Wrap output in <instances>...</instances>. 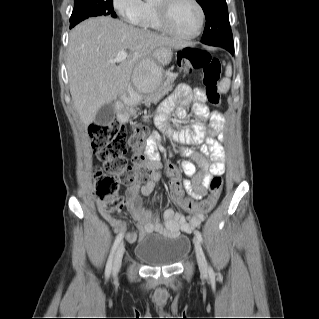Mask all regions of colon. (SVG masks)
<instances>
[{
	"label": "colon",
	"instance_id": "1",
	"mask_svg": "<svg viewBox=\"0 0 319 319\" xmlns=\"http://www.w3.org/2000/svg\"><path fill=\"white\" fill-rule=\"evenodd\" d=\"M177 65L185 71L202 70V84L207 101L213 105L220 104L218 83L221 76V63L217 58L212 57L205 50L186 47L178 53ZM148 131L147 125L139 124L134 127L133 134L128 137L124 125L116 121L91 126L89 134L92 149L98 152L99 159L104 163L103 169L95 171V196L98 201L104 203L103 210L106 213H119L124 208L125 201L118 193L120 185H131L150 175L147 157L142 151L145 146L151 145L147 139ZM128 147L134 150L133 155L128 154ZM178 183L179 181L172 182L170 190L172 198L184 209L197 208L203 214L215 207L223 188L222 177L220 175L213 177L209 183V198L196 204L191 199L184 198L177 188Z\"/></svg>",
	"mask_w": 319,
	"mask_h": 319
}]
</instances>
